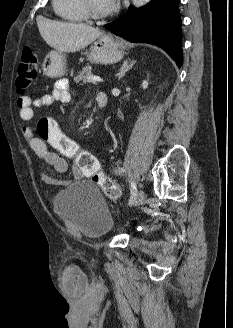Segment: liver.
<instances>
[{
    "instance_id": "1",
    "label": "liver",
    "mask_w": 233,
    "mask_h": 328,
    "mask_svg": "<svg viewBox=\"0 0 233 328\" xmlns=\"http://www.w3.org/2000/svg\"><path fill=\"white\" fill-rule=\"evenodd\" d=\"M39 32L44 41L58 52H76L95 41L102 32L82 23L58 22L39 17Z\"/></svg>"
}]
</instances>
